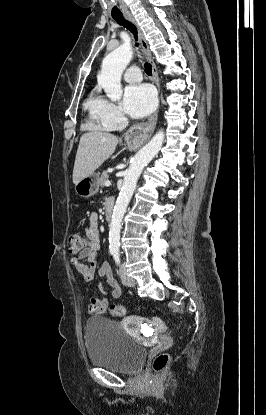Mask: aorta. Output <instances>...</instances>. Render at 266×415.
Here are the masks:
<instances>
[{"label":"aorta","instance_id":"1","mask_svg":"<svg viewBox=\"0 0 266 415\" xmlns=\"http://www.w3.org/2000/svg\"><path fill=\"white\" fill-rule=\"evenodd\" d=\"M133 57L132 47L123 44L110 52L102 62L98 83L104 89L111 101H118L122 97L121 76L126 66ZM164 141V132L158 131L151 141L140 149L130 167L127 169L123 187L114 206L109 231V249L118 251L120 246V231L122 220L127 206L133 196L138 178L144 167L158 154Z\"/></svg>","mask_w":266,"mask_h":415}]
</instances>
